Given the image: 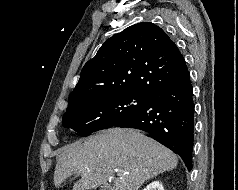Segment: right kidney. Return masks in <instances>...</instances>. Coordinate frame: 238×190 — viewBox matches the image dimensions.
Segmentation results:
<instances>
[{"instance_id": "right-kidney-1", "label": "right kidney", "mask_w": 238, "mask_h": 190, "mask_svg": "<svg viewBox=\"0 0 238 190\" xmlns=\"http://www.w3.org/2000/svg\"><path fill=\"white\" fill-rule=\"evenodd\" d=\"M143 190H164V188H163V185L159 181H154V182L150 183Z\"/></svg>"}]
</instances>
